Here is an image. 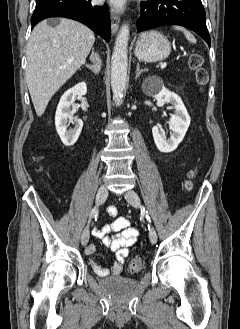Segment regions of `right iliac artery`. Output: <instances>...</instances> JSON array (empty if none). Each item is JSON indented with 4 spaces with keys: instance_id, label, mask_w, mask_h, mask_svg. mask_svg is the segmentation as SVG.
<instances>
[{
    "instance_id": "obj_1",
    "label": "right iliac artery",
    "mask_w": 240,
    "mask_h": 329,
    "mask_svg": "<svg viewBox=\"0 0 240 329\" xmlns=\"http://www.w3.org/2000/svg\"><path fill=\"white\" fill-rule=\"evenodd\" d=\"M96 212H97L96 208H93L92 211H91L90 216H94L96 214Z\"/></svg>"
}]
</instances>
